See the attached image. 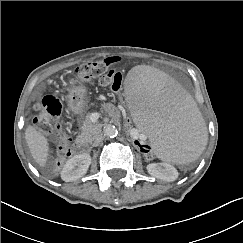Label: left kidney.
<instances>
[{
  "label": "left kidney",
  "instance_id": "obj_1",
  "mask_svg": "<svg viewBox=\"0 0 243 243\" xmlns=\"http://www.w3.org/2000/svg\"><path fill=\"white\" fill-rule=\"evenodd\" d=\"M148 173L158 179L172 182L178 178V171L170 163H151L147 165Z\"/></svg>",
  "mask_w": 243,
  "mask_h": 243
}]
</instances>
